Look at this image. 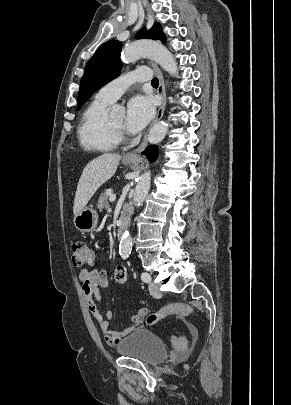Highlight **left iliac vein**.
<instances>
[{
	"label": "left iliac vein",
	"mask_w": 291,
	"mask_h": 405,
	"mask_svg": "<svg viewBox=\"0 0 291 405\" xmlns=\"http://www.w3.org/2000/svg\"><path fill=\"white\" fill-rule=\"evenodd\" d=\"M149 292L153 297L156 298H159L162 295L159 286L154 282L149 283Z\"/></svg>",
	"instance_id": "left-iliac-vein-1"
}]
</instances>
